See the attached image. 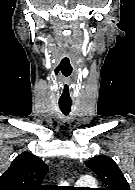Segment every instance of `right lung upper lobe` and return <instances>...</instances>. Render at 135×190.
Masks as SVG:
<instances>
[{"label":"right lung upper lobe","instance_id":"right-lung-upper-lobe-1","mask_svg":"<svg viewBox=\"0 0 135 190\" xmlns=\"http://www.w3.org/2000/svg\"><path fill=\"white\" fill-rule=\"evenodd\" d=\"M48 166L37 156L23 152L0 177V190H45L41 185Z\"/></svg>","mask_w":135,"mask_h":190}]
</instances>
